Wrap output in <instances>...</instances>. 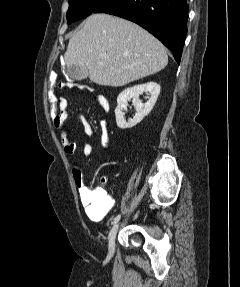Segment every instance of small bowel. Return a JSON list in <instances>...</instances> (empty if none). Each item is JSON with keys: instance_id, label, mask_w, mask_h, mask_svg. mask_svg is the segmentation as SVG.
<instances>
[{"instance_id": "obj_1", "label": "small bowel", "mask_w": 240, "mask_h": 287, "mask_svg": "<svg viewBox=\"0 0 240 287\" xmlns=\"http://www.w3.org/2000/svg\"><path fill=\"white\" fill-rule=\"evenodd\" d=\"M96 100L105 112L109 111L110 105L104 96L98 95ZM79 119L85 134L89 136L93 135L94 129L87 121V119L84 116H80ZM101 128V146L106 148L108 147L109 143V133L105 120L101 121ZM57 129L60 131V140L64 153L67 156H73L77 150V146L73 141L69 139L68 133L65 130V123L57 127ZM82 151L85 157H90L93 153V147L90 143H85L83 145ZM102 182L104 183L105 179H102ZM80 196L86 215L90 220L94 222L102 221L114 206V199L107 193L103 192L101 189H82Z\"/></svg>"}]
</instances>
